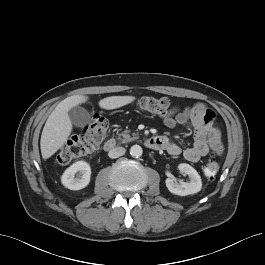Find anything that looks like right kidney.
Instances as JSON below:
<instances>
[{"mask_svg": "<svg viewBox=\"0 0 265 265\" xmlns=\"http://www.w3.org/2000/svg\"><path fill=\"white\" fill-rule=\"evenodd\" d=\"M78 172L79 174L75 178V174ZM90 177V165L85 161H77L65 170L61 177V182L70 190H80L89 184Z\"/></svg>", "mask_w": 265, "mask_h": 265, "instance_id": "ca27d5eb", "label": "right kidney"}]
</instances>
